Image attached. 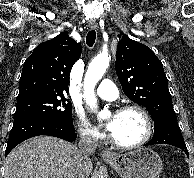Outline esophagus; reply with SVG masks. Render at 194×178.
Returning <instances> with one entry per match:
<instances>
[{"instance_id": "1", "label": "esophagus", "mask_w": 194, "mask_h": 178, "mask_svg": "<svg viewBox=\"0 0 194 178\" xmlns=\"http://www.w3.org/2000/svg\"><path fill=\"white\" fill-rule=\"evenodd\" d=\"M96 27H97V22H96V21H90V22H89V28L94 29V28H96ZM102 157H103L104 159H113L115 156H114V154H113L112 152H110V151H103Z\"/></svg>"}]
</instances>
